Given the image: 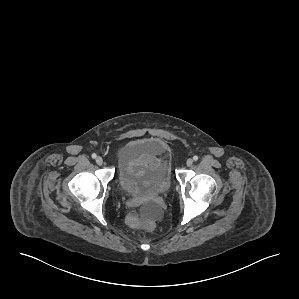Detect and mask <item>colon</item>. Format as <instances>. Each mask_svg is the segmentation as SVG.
<instances>
[{
    "instance_id": "colon-1",
    "label": "colon",
    "mask_w": 299,
    "mask_h": 299,
    "mask_svg": "<svg viewBox=\"0 0 299 299\" xmlns=\"http://www.w3.org/2000/svg\"><path fill=\"white\" fill-rule=\"evenodd\" d=\"M127 223L132 227H144L149 230L154 228V223L151 220L144 218L137 213L129 214L127 217Z\"/></svg>"
}]
</instances>
